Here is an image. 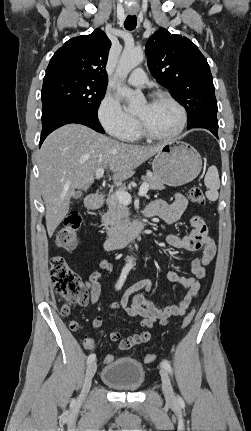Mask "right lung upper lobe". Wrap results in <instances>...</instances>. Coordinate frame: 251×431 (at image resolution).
<instances>
[{
  "mask_svg": "<svg viewBox=\"0 0 251 431\" xmlns=\"http://www.w3.org/2000/svg\"><path fill=\"white\" fill-rule=\"evenodd\" d=\"M110 47L106 34L95 29L89 35L68 40L54 53L46 71L65 70L107 84L105 66Z\"/></svg>",
  "mask_w": 251,
  "mask_h": 431,
  "instance_id": "obj_1",
  "label": "right lung upper lobe"
}]
</instances>
